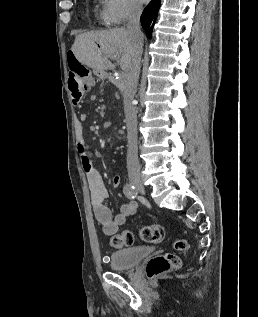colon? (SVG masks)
<instances>
[{"label":"colon","instance_id":"obj_1","mask_svg":"<svg viewBox=\"0 0 258 317\" xmlns=\"http://www.w3.org/2000/svg\"><path fill=\"white\" fill-rule=\"evenodd\" d=\"M68 68L71 72L77 74L85 88H90L94 84V76L91 70L81 64L72 51L67 53ZM163 229L157 224H147L140 228L137 238L142 243H158L163 238ZM110 245L115 248L129 247L135 242V234L129 230L112 235L109 239ZM178 251H185L187 244L184 240H178L175 243ZM180 259L176 254L166 253L152 257L146 266V272L149 278L158 277L168 271L179 268Z\"/></svg>","mask_w":258,"mask_h":317}]
</instances>
